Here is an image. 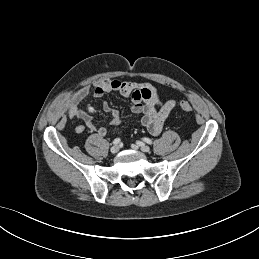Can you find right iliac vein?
Wrapping results in <instances>:
<instances>
[{"mask_svg":"<svg viewBox=\"0 0 259 259\" xmlns=\"http://www.w3.org/2000/svg\"><path fill=\"white\" fill-rule=\"evenodd\" d=\"M112 154H116L119 151V147L117 145H114L110 149Z\"/></svg>","mask_w":259,"mask_h":259,"instance_id":"obj_1","label":"right iliac vein"}]
</instances>
